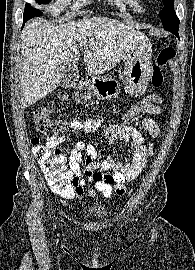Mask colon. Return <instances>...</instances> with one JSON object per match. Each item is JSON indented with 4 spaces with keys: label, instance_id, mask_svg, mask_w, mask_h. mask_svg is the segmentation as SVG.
<instances>
[{
    "label": "colon",
    "instance_id": "1",
    "mask_svg": "<svg viewBox=\"0 0 195 270\" xmlns=\"http://www.w3.org/2000/svg\"><path fill=\"white\" fill-rule=\"evenodd\" d=\"M176 56L173 47L163 48L156 57L152 73L151 84L154 88H160L164 82L163 68L170 63ZM76 99L87 105L91 104V94L89 88L81 81L76 84ZM64 99V94L60 95ZM161 99L157 95H149L138 104L131 107L123 114V121L130 122L137 116L147 113L157 106H160ZM33 120L36 129L45 134L48 138H53L65 132L69 128V124L65 121L50 118V108L44 107L34 112ZM34 145V155L45 174L50 188L60 194L68 193L72 188V178L65 166L66 159L58 146L48 144H40L38 138L31 140Z\"/></svg>",
    "mask_w": 195,
    "mask_h": 270
}]
</instances>
